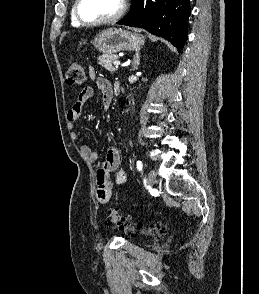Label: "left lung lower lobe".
<instances>
[{
    "label": "left lung lower lobe",
    "instance_id": "left-lung-lower-lobe-1",
    "mask_svg": "<svg viewBox=\"0 0 259 294\" xmlns=\"http://www.w3.org/2000/svg\"><path fill=\"white\" fill-rule=\"evenodd\" d=\"M190 15V0H132L130 12L117 24L146 29L181 50Z\"/></svg>",
    "mask_w": 259,
    "mask_h": 294
}]
</instances>
